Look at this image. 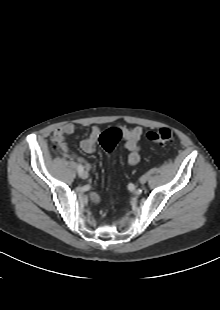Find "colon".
<instances>
[{"mask_svg":"<svg viewBox=\"0 0 220 310\" xmlns=\"http://www.w3.org/2000/svg\"><path fill=\"white\" fill-rule=\"evenodd\" d=\"M123 137L122 131L119 128H109L103 131L99 136V144L107 153H112L118 142ZM146 138L152 142L160 144H168L173 141V133L168 128H160L157 130L148 131Z\"/></svg>","mask_w":220,"mask_h":310,"instance_id":"colon-1","label":"colon"}]
</instances>
